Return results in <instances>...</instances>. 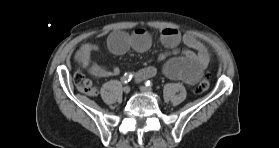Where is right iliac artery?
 Instances as JSON below:
<instances>
[{
  "label": "right iliac artery",
  "instance_id": "right-iliac-artery-1",
  "mask_svg": "<svg viewBox=\"0 0 279 148\" xmlns=\"http://www.w3.org/2000/svg\"><path fill=\"white\" fill-rule=\"evenodd\" d=\"M132 74L131 73H125L123 78H122V82L123 83H128L131 79H132Z\"/></svg>",
  "mask_w": 279,
  "mask_h": 148
}]
</instances>
